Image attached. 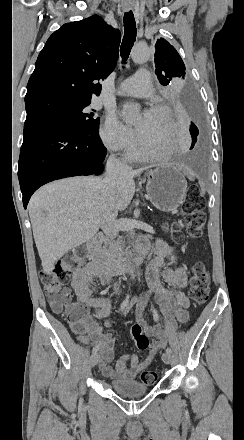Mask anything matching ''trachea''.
Returning <instances> with one entry per match:
<instances>
[{
	"label": "trachea",
	"mask_w": 244,
	"mask_h": 440,
	"mask_svg": "<svg viewBox=\"0 0 244 440\" xmlns=\"http://www.w3.org/2000/svg\"><path fill=\"white\" fill-rule=\"evenodd\" d=\"M137 35L136 23L132 11L124 14V38L120 47V54L125 63L129 57Z\"/></svg>",
	"instance_id": "obj_1"
}]
</instances>
